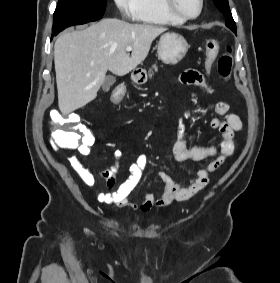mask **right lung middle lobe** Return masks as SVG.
<instances>
[{"instance_id":"1","label":"right lung middle lobe","mask_w":280,"mask_h":283,"mask_svg":"<svg viewBox=\"0 0 280 283\" xmlns=\"http://www.w3.org/2000/svg\"><path fill=\"white\" fill-rule=\"evenodd\" d=\"M106 9V0H59L54 12L52 33L72 25L85 24L101 19Z\"/></svg>"}]
</instances>
